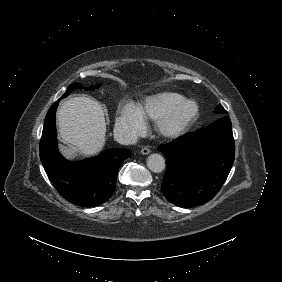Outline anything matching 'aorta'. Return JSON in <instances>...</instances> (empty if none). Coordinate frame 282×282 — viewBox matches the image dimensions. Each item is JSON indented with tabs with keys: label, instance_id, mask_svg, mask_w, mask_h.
<instances>
[{
	"label": "aorta",
	"instance_id": "obj_1",
	"mask_svg": "<svg viewBox=\"0 0 282 282\" xmlns=\"http://www.w3.org/2000/svg\"><path fill=\"white\" fill-rule=\"evenodd\" d=\"M147 167L154 173H161L165 169V159L160 154H151L147 158Z\"/></svg>",
	"mask_w": 282,
	"mask_h": 282
}]
</instances>
